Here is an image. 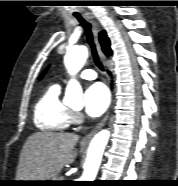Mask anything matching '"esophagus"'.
I'll use <instances>...</instances> for the list:
<instances>
[{
  "label": "esophagus",
  "instance_id": "34e87169",
  "mask_svg": "<svg viewBox=\"0 0 178 186\" xmlns=\"http://www.w3.org/2000/svg\"><path fill=\"white\" fill-rule=\"evenodd\" d=\"M90 20L93 24V29H94V34L96 36V43H97V49H98L99 55H100L102 60H105V56H104L103 52L101 51L100 45H99L98 40H97V34H98L97 25L94 22L92 17H90ZM109 115H110V112H108L105 115V117L82 139V143H87L93 138V136L104 126V124L106 123Z\"/></svg>",
  "mask_w": 178,
  "mask_h": 186
}]
</instances>
